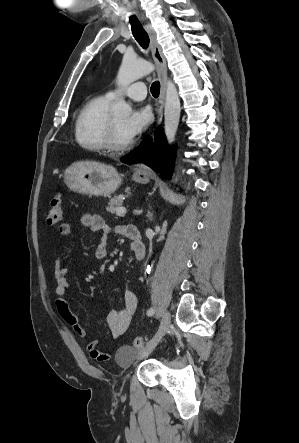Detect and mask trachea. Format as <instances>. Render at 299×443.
I'll use <instances>...</instances> for the list:
<instances>
[{"label":"trachea","instance_id":"trachea-1","mask_svg":"<svg viewBox=\"0 0 299 443\" xmlns=\"http://www.w3.org/2000/svg\"><path fill=\"white\" fill-rule=\"evenodd\" d=\"M130 24H131L132 34L136 39V41L140 44L142 48L147 49L149 46V36L147 32L144 30L139 20L135 16H131ZM150 90L152 95L155 98H157L160 93L159 81H155L154 83H152Z\"/></svg>","mask_w":299,"mask_h":443}]
</instances>
